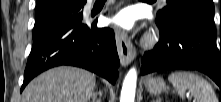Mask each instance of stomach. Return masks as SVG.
<instances>
[{"label": "stomach", "instance_id": "obj_1", "mask_svg": "<svg viewBox=\"0 0 221 102\" xmlns=\"http://www.w3.org/2000/svg\"><path fill=\"white\" fill-rule=\"evenodd\" d=\"M145 87L151 94H160L166 91V84L161 77L148 78L145 81Z\"/></svg>", "mask_w": 221, "mask_h": 102}]
</instances>
